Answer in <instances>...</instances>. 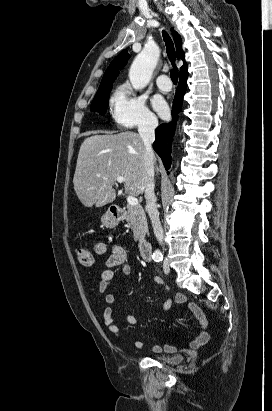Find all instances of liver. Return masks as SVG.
I'll use <instances>...</instances> for the list:
<instances>
[{
	"mask_svg": "<svg viewBox=\"0 0 272 411\" xmlns=\"http://www.w3.org/2000/svg\"><path fill=\"white\" fill-rule=\"evenodd\" d=\"M144 153L143 141L135 132L86 138L79 150L73 178L78 199L86 207L112 203L116 198L113 186L117 176L125 178L126 193L141 195L146 186Z\"/></svg>",
	"mask_w": 272,
	"mask_h": 411,
	"instance_id": "liver-1",
	"label": "liver"
}]
</instances>
